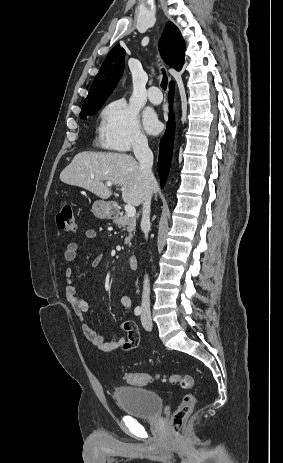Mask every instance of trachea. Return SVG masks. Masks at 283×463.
<instances>
[{"mask_svg": "<svg viewBox=\"0 0 283 463\" xmlns=\"http://www.w3.org/2000/svg\"><path fill=\"white\" fill-rule=\"evenodd\" d=\"M167 82H168V79H167V76H166L165 71L163 70V79H162V81H161V88H162L163 90H166V88H167Z\"/></svg>", "mask_w": 283, "mask_h": 463, "instance_id": "3493384b", "label": "trachea"}]
</instances>
